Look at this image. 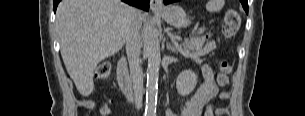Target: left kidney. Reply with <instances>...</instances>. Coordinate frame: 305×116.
Masks as SVG:
<instances>
[{
    "label": "left kidney",
    "instance_id": "obj_1",
    "mask_svg": "<svg viewBox=\"0 0 305 116\" xmlns=\"http://www.w3.org/2000/svg\"><path fill=\"white\" fill-rule=\"evenodd\" d=\"M197 85V75L191 70L182 71L176 80V88L181 96L189 95Z\"/></svg>",
    "mask_w": 305,
    "mask_h": 116
}]
</instances>
